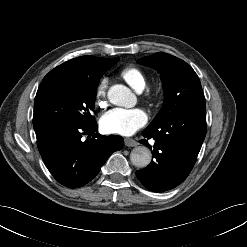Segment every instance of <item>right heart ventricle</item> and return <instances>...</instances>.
I'll return each instance as SVG.
<instances>
[{
  "instance_id": "e07e8e85",
  "label": "right heart ventricle",
  "mask_w": 247,
  "mask_h": 247,
  "mask_svg": "<svg viewBox=\"0 0 247 247\" xmlns=\"http://www.w3.org/2000/svg\"><path fill=\"white\" fill-rule=\"evenodd\" d=\"M120 77L135 91L141 92L146 87L145 73L134 65H128L120 70Z\"/></svg>"
}]
</instances>
